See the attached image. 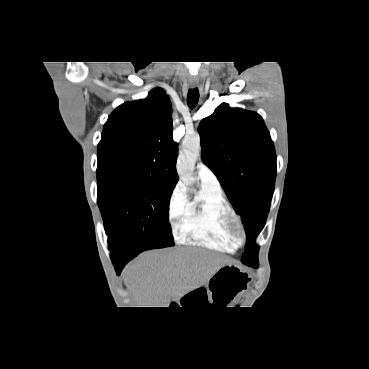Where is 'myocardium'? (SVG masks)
I'll return each mask as SVG.
<instances>
[{
    "label": "myocardium",
    "instance_id": "obj_1",
    "mask_svg": "<svg viewBox=\"0 0 369 369\" xmlns=\"http://www.w3.org/2000/svg\"><path fill=\"white\" fill-rule=\"evenodd\" d=\"M229 226H230L232 235L238 242H242L245 240L244 229L240 221L237 218H235L234 216H231L229 219Z\"/></svg>",
    "mask_w": 369,
    "mask_h": 369
}]
</instances>
